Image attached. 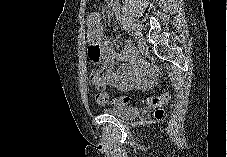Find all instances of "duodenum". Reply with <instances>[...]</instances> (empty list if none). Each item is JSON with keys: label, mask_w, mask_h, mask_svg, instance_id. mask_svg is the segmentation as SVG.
Segmentation results:
<instances>
[{"label": "duodenum", "mask_w": 227, "mask_h": 157, "mask_svg": "<svg viewBox=\"0 0 227 157\" xmlns=\"http://www.w3.org/2000/svg\"><path fill=\"white\" fill-rule=\"evenodd\" d=\"M111 9L113 11V13L118 16L120 14V8L118 5V0H109Z\"/></svg>", "instance_id": "1"}]
</instances>
